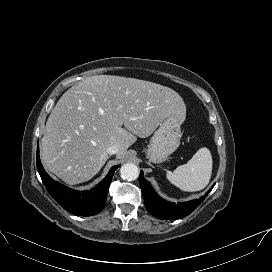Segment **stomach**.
Wrapping results in <instances>:
<instances>
[{
    "label": "stomach",
    "mask_w": 272,
    "mask_h": 272,
    "mask_svg": "<svg viewBox=\"0 0 272 272\" xmlns=\"http://www.w3.org/2000/svg\"><path fill=\"white\" fill-rule=\"evenodd\" d=\"M180 119L170 115L164 119L153 134L146 155L153 163H162L179 146L181 139Z\"/></svg>",
    "instance_id": "1"
}]
</instances>
